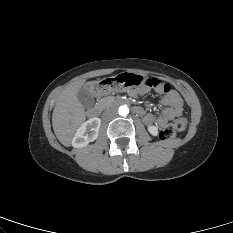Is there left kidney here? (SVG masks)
Here are the masks:
<instances>
[{"mask_svg": "<svg viewBox=\"0 0 233 233\" xmlns=\"http://www.w3.org/2000/svg\"><path fill=\"white\" fill-rule=\"evenodd\" d=\"M148 131L153 136H156L158 134V128L156 126H149Z\"/></svg>", "mask_w": 233, "mask_h": 233, "instance_id": "5707ae66", "label": "left kidney"}]
</instances>
